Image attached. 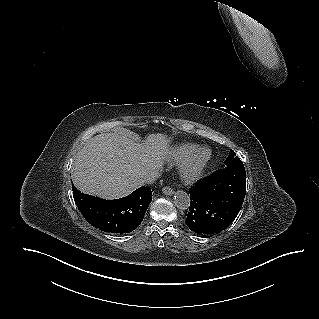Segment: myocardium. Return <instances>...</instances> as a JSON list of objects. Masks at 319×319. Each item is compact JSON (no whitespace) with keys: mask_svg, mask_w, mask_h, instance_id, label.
I'll use <instances>...</instances> for the list:
<instances>
[{"mask_svg":"<svg viewBox=\"0 0 319 319\" xmlns=\"http://www.w3.org/2000/svg\"><path fill=\"white\" fill-rule=\"evenodd\" d=\"M211 160L208 149H199L184 165L181 178L186 184H194L199 181Z\"/></svg>","mask_w":319,"mask_h":319,"instance_id":"f54148a6","label":"myocardium"}]
</instances>
